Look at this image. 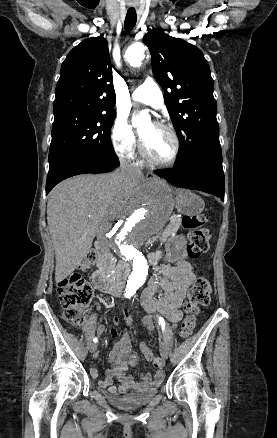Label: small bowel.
<instances>
[{
    "mask_svg": "<svg viewBox=\"0 0 277 438\" xmlns=\"http://www.w3.org/2000/svg\"><path fill=\"white\" fill-rule=\"evenodd\" d=\"M161 252L152 256V261H157L161 257ZM195 281V274L190 262L185 258V253L179 248V254L173 265L160 264L158 273L150 282L148 288L143 292L141 303L144 309L153 314L158 312L162 314L174 326L183 318L181 310L184 298L189 287ZM162 290V294L156 299V293ZM127 322H130V317L126 316ZM144 326L147 330L152 331L154 324L151 321H146ZM105 331L104 325H99L97 328L98 334ZM113 333L118 331L116 326L111 328ZM127 333H131L133 328L127 326ZM125 333L115 342L109 355L111 368L107 371L106 378L99 381V385L114 393L117 387L113 385V378L120 382L119 389L121 391H150L156 389L164 378V372H156L154 378L150 373H138L136 377L138 381L127 370L130 366H134L138 362L136 354L131 353V338ZM141 351L147 360H151L153 355L151 349L145 344H140Z\"/></svg>",
    "mask_w": 277,
    "mask_h": 438,
    "instance_id": "1",
    "label": "small bowel"
}]
</instances>
